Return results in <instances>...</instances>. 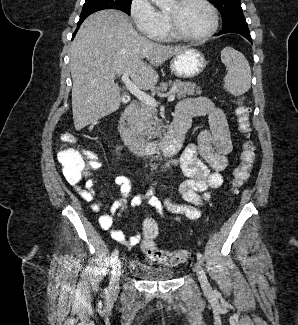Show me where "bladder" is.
Returning <instances> with one entry per match:
<instances>
[{
    "mask_svg": "<svg viewBox=\"0 0 298 325\" xmlns=\"http://www.w3.org/2000/svg\"><path fill=\"white\" fill-rule=\"evenodd\" d=\"M128 271L132 276L148 282L169 281L175 275L171 268L155 266L140 258L130 261Z\"/></svg>",
    "mask_w": 298,
    "mask_h": 325,
    "instance_id": "31cf9c89",
    "label": "bladder"
}]
</instances>
